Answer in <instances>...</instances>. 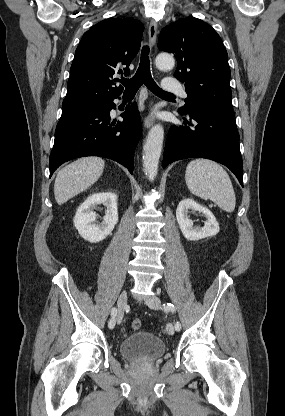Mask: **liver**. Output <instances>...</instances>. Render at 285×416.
I'll return each mask as SVG.
<instances>
[{"label":"liver","instance_id":"obj_1","mask_svg":"<svg viewBox=\"0 0 285 416\" xmlns=\"http://www.w3.org/2000/svg\"><path fill=\"white\" fill-rule=\"evenodd\" d=\"M105 162L102 158H80L62 168L55 178L54 196L62 206L70 198L85 192L102 176Z\"/></svg>","mask_w":285,"mask_h":416}]
</instances>
